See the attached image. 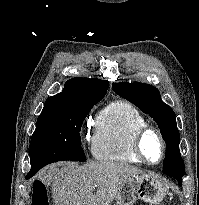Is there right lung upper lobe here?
<instances>
[{"mask_svg":"<svg viewBox=\"0 0 199 205\" xmlns=\"http://www.w3.org/2000/svg\"><path fill=\"white\" fill-rule=\"evenodd\" d=\"M109 87L106 80L89 79V78H73L65 83L61 93L47 98L42 111L57 106L69 105L82 100L102 99Z\"/></svg>","mask_w":199,"mask_h":205,"instance_id":"obj_1","label":"right lung upper lobe"}]
</instances>
